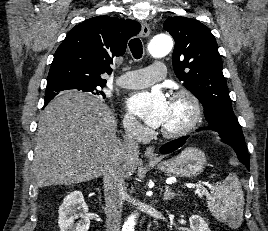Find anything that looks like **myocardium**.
<instances>
[{"instance_id":"myocardium-1","label":"myocardium","mask_w":268,"mask_h":231,"mask_svg":"<svg viewBox=\"0 0 268 231\" xmlns=\"http://www.w3.org/2000/svg\"><path fill=\"white\" fill-rule=\"evenodd\" d=\"M181 99L186 101L191 110L189 120L179 129L165 130L160 129L159 133L166 138H178L190 133L200 122L202 118V106L199 99L189 90L183 89L171 94L170 100Z\"/></svg>"}]
</instances>
